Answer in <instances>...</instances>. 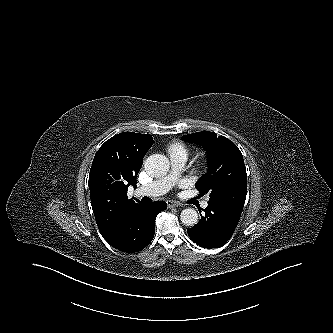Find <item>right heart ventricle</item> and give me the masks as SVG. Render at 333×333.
Listing matches in <instances>:
<instances>
[{
  "instance_id": "e07e8e85",
  "label": "right heart ventricle",
  "mask_w": 333,
  "mask_h": 333,
  "mask_svg": "<svg viewBox=\"0 0 333 333\" xmlns=\"http://www.w3.org/2000/svg\"><path fill=\"white\" fill-rule=\"evenodd\" d=\"M168 153L171 156H175V155H183L187 158L188 156V149L187 147L180 142H173L172 144H170L168 146Z\"/></svg>"
}]
</instances>
